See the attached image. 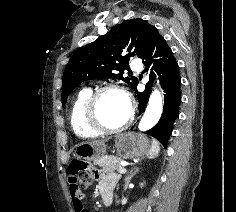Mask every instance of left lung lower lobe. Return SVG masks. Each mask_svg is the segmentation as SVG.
<instances>
[{
  "mask_svg": "<svg viewBox=\"0 0 236 212\" xmlns=\"http://www.w3.org/2000/svg\"><path fill=\"white\" fill-rule=\"evenodd\" d=\"M142 59L146 66L145 71L151 66V80L146 84L144 92H138L137 88L134 89L139 101V115L145 111L151 93V86L155 79V73H157L165 93L163 113L158 123L146 133L158 139L166 147V142L172 133L173 123L179 115L181 77L173 52L156 27L150 32L146 52Z\"/></svg>",
  "mask_w": 236,
  "mask_h": 212,
  "instance_id": "obj_1",
  "label": "left lung lower lobe"
}]
</instances>
